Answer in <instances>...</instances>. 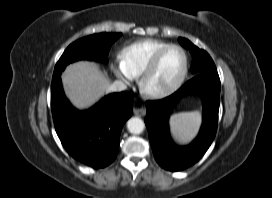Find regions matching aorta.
Instances as JSON below:
<instances>
[{"instance_id": "aorta-1", "label": "aorta", "mask_w": 272, "mask_h": 198, "mask_svg": "<svg viewBox=\"0 0 272 198\" xmlns=\"http://www.w3.org/2000/svg\"><path fill=\"white\" fill-rule=\"evenodd\" d=\"M127 128L132 134H140L145 128L144 121L138 117H133L128 120Z\"/></svg>"}]
</instances>
